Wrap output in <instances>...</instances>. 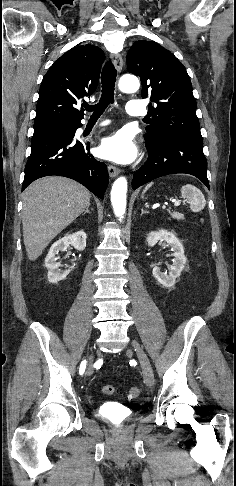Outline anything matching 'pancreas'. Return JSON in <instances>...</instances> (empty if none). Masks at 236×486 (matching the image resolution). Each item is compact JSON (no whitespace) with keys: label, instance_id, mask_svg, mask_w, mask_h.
Listing matches in <instances>:
<instances>
[{"label":"pancreas","instance_id":"cf45deb5","mask_svg":"<svg viewBox=\"0 0 236 486\" xmlns=\"http://www.w3.org/2000/svg\"><path fill=\"white\" fill-rule=\"evenodd\" d=\"M170 215L172 216V218L177 219V220L184 219V215L182 213L171 212Z\"/></svg>","mask_w":236,"mask_h":486}]
</instances>
